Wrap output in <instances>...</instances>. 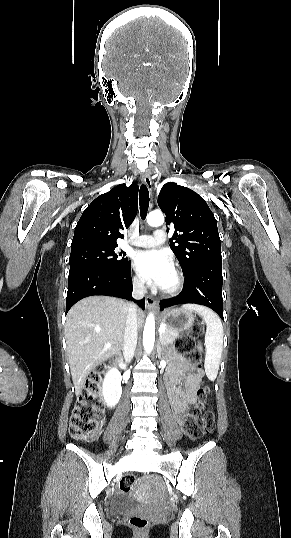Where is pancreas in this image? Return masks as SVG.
I'll return each instance as SVG.
<instances>
[{"label":"pancreas","instance_id":"obj_1","mask_svg":"<svg viewBox=\"0 0 291 538\" xmlns=\"http://www.w3.org/2000/svg\"><path fill=\"white\" fill-rule=\"evenodd\" d=\"M178 336H179V332H175L166 328L165 331L160 334L159 339L163 345H169L175 342Z\"/></svg>","mask_w":291,"mask_h":538}]
</instances>
